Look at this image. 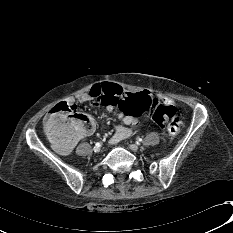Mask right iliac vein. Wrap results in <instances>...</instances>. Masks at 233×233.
I'll use <instances>...</instances> for the list:
<instances>
[{
    "mask_svg": "<svg viewBox=\"0 0 233 233\" xmlns=\"http://www.w3.org/2000/svg\"><path fill=\"white\" fill-rule=\"evenodd\" d=\"M93 150H94L95 152H99V151H100V148L95 146Z\"/></svg>",
    "mask_w": 233,
    "mask_h": 233,
    "instance_id": "1",
    "label": "right iliac vein"
}]
</instances>
